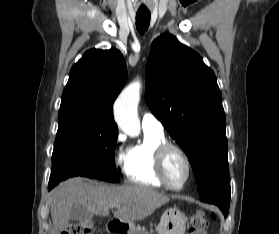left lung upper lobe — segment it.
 Here are the masks:
<instances>
[{"label": "left lung upper lobe", "instance_id": "left-lung-upper-lobe-1", "mask_svg": "<svg viewBox=\"0 0 279 234\" xmlns=\"http://www.w3.org/2000/svg\"><path fill=\"white\" fill-rule=\"evenodd\" d=\"M146 79V102L188 156L200 199L227 217L226 119L214 72L198 53L165 33L152 43Z\"/></svg>", "mask_w": 279, "mask_h": 234}]
</instances>
